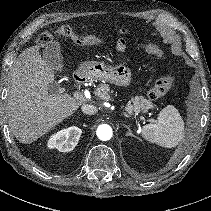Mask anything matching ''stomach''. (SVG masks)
I'll return each mask as SVG.
<instances>
[{"label": "stomach", "instance_id": "stomach-1", "mask_svg": "<svg viewBox=\"0 0 211 211\" xmlns=\"http://www.w3.org/2000/svg\"><path fill=\"white\" fill-rule=\"evenodd\" d=\"M80 68L95 79L105 80L117 86L127 87L131 83V71L123 64L108 67L103 62L87 61L81 64Z\"/></svg>", "mask_w": 211, "mask_h": 211}]
</instances>
